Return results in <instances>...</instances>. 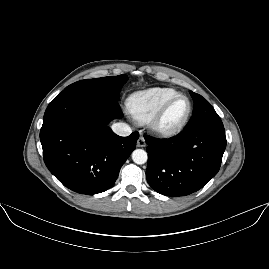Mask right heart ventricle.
Instances as JSON below:
<instances>
[{
    "mask_svg": "<svg viewBox=\"0 0 269 269\" xmlns=\"http://www.w3.org/2000/svg\"><path fill=\"white\" fill-rule=\"evenodd\" d=\"M179 95L171 88H151L138 91L128 99V108L138 122L147 124L171 98Z\"/></svg>",
    "mask_w": 269,
    "mask_h": 269,
    "instance_id": "e07e8e85",
    "label": "right heart ventricle"
}]
</instances>
